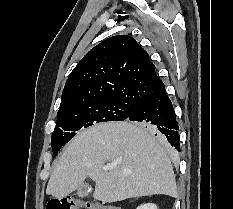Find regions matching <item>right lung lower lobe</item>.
Listing matches in <instances>:
<instances>
[{
	"label": "right lung lower lobe",
	"mask_w": 233,
	"mask_h": 209,
	"mask_svg": "<svg viewBox=\"0 0 233 209\" xmlns=\"http://www.w3.org/2000/svg\"><path fill=\"white\" fill-rule=\"evenodd\" d=\"M127 120L151 126L155 132L164 134L170 145L180 151L179 126L165 89L138 103Z\"/></svg>",
	"instance_id": "right-lung-lower-lobe-1"
}]
</instances>
